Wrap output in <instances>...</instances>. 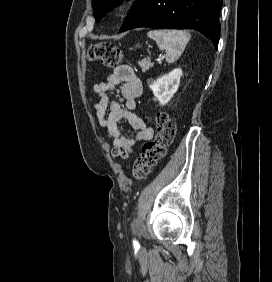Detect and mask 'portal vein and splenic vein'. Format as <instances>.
<instances>
[{"mask_svg": "<svg viewBox=\"0 0 272 282\" xmlns=\"http://www.w3.org/2000/svg\"><path fill=\"white\" fill-rule=\"evenodd\" d=\"M163 60V56L160 55V57L157 59L158 63H161Z\"/></svg>", "mask_w": 272, "mask_h": 282, "instance_id": "portal-vein-and-splenic-vein-1", "label": "portal vein and splenic vein"}]
</instances>
